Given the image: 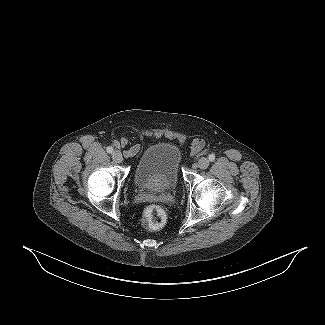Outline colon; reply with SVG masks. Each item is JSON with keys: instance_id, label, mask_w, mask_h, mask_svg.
<instances>
[{"instance_id": "1", "label": "colon", "mask_w": 325, "mask_h": 325, "mask_svg": "<svg viewBox=\"0 0 325 325\" xmlns=\"http://www.w3.org/2000/svg\"><path fill=\"white\" fill-rule=\"evenodd\" d=\"M200 143L195 148L199 149ZM144 221L149 228L156 229L161 227L166 221L165 211L158 205H150L144 210Z\"/></svg>"}]
</instances>
